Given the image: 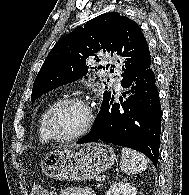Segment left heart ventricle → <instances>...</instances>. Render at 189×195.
Segmentation results:
<instances>
[{"mask_svg": "<svg viewBox=\"0 0 189 195\" xmlns=\"http://www.w3.org/2000/svg\"><path fill=\"white\" fill-rule=\"evenodd\" d=\"M87 112L78 104H66L55 113L52 126L56 134L69 136L79 132L85 125Z\"/></svg>", "mask_w": 189, "mask_h": 195, "instance_id": "1", "label": "left heart ventricle"}]
</instances>
